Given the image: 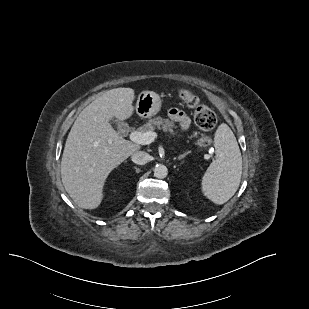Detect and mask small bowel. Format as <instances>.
<instances>
[{"mask_svg":"<svg viewBox=\"0 0 309 309\" xmlns=\"http://www.w3.org/2000/svg\"><path fill=\"white\" fill-rule=\"evenodd\" d=\"M169 115L173 121H175L181 130H186L190 125L189 117L179 109H171Z\"/></svg>","mask_w":309,"mask_h":309,"instance_id":"c3829d8e","label":"small bowel"}]
</instances>
